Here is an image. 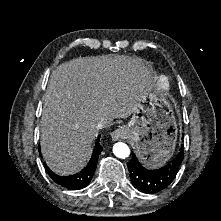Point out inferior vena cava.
I'll use <instances>...</instances> for the list:
<instances>
[{
	"label": "inferior vena cava",
	"mask_w": 221,
	"mask_h": 221,
	"mask_svg": "<svg viewBox=\"0 0 221 221\" xmlns=\"http://www.w3.org/2000/svg\"><path fill=\"white\" fill-rule=\"evenodd\" d=\"M106 126H107V122L102 119V120H100V121L97 123L96 128H97V129H102V128L106 127Z\"/></svg>",
	"instance_id": "obj_1"
}]
</instances>
